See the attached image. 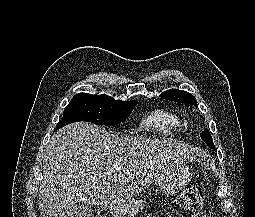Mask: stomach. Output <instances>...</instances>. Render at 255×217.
Masks as SVG:
<instances>
[{
	"label": "stomach",
	"instance_id": "obj_1",
	"mask_svg": "<svg viewBox=\"0 0 255 217\" xmlns=\"http://www.w3.org/2000/svg\"><path fill=\"white\" fill-rule=\"evenodd\" d=\"M191 176V170L182 162L170 171L161 174L158 178V184L163 193L175 194L187 185ZM143 207V201L132 198L112 202L108 205L109 212L113 217H134Z\"/></svg>",
	"mask_w": 255,
	"mask_h": 217
}]
</instances>
